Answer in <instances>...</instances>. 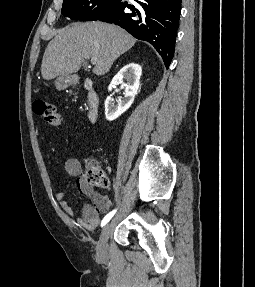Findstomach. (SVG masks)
Wrapping results in <instances>:
<instances>
[{
	"instance_id": "0dacf381",
	"label": "stomach",
	"mask_w": 255,
	"mask_h": 287,
	"mask_svg": "<svg viewBox=\"0 0 255 287\" xmlns=\"http://www.w3.org/2000/svg\"><path fill=\"white\" fill-rule=\"evenodd\" d=\"M73 84V78L72 76H68V74H65V76H60V78H57L55 80V86L57 90H65V88H68V86H72Z\"/></svg>"
}]
</instances>
